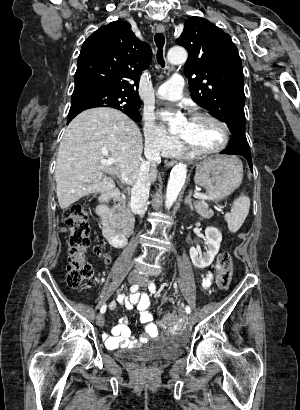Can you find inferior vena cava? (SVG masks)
<instances>
[{
	"mask_svg": "<svg viewBox=\"0 0 300 410\" xmlns=\"http://www.w3.org/2000/svg\"><path fill=\"white\" fill-rule=\"evenodd\" d=\"M149 143H146L145 155L147 161H142L138 179L131 190V209L141 217L147 210L146 202L149 198L150 179L148 176L150 166L154 168L161 162L159 150L148 149Z\"/></svg>",
	"mask_w": 300,
	"mask_h": 410,
	"instance_id": "602c4592",
	"label": "inferior vena cava"
}]
</instances>
